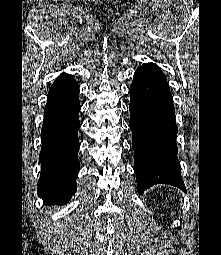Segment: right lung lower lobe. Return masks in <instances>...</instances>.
Wrapping results in <instances>:
<instances>
[{
	"label": "right lung lower lobe",
	"instance_id": "obj_1",
	"mask_svg": "<svg viewBox=\"0 0 221 255\" xmlns=\"http://www.w3.org/2000/svg\"><path fill=\"white\" fill-rule=\"evenodd\" d=\"M79 87L70 74H61L48 93L41 130V175L38 195L46 203H63L76 191L79 171Z\"/></svg>",
	"mask_w": 221,
	"mask_h": 255
}]
</instances>
